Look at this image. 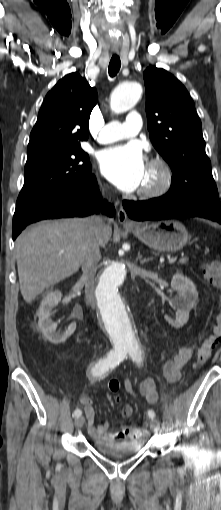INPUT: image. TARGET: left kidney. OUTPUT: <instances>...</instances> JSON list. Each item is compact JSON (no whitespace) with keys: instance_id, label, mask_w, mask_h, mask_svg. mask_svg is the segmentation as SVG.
<instances>
[{"instance_id":"obj_1","label":"left kidney","mask_w":221,"mask_h":510,"mask_svg":"<svg viewBox=\"0 0 221 510\" xmlns=\"http://www.w3.org/2000/svg\"><path fill=\"white\" fill-rule=\"evenodd\" d=\"M171 287L177 292V295L170 301L176 310L177 318L174 320L166 315L165 320L171 326L180 328L187 323L190 310L198 301V292L194 283L182 273H176L172 277Z\"/></svg>"}]
</instances>
